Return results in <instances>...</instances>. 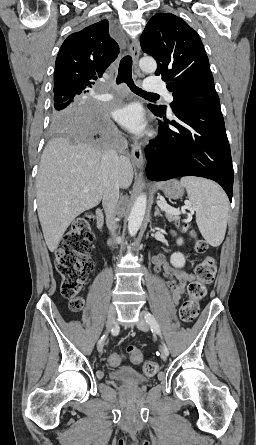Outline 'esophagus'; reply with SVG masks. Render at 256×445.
Segmentation results:
<instances>
[{"instance_id": "esophagus-1", "label": "esophagus", "mask_w": 256, "mask_h": 445, "mask_svg": "<svg viewBox=\"0 0 256 445\" xmlns=\"http://www.w3.org/2000/svg\"><path fill=\"white\" fill-rule=\"evenodd\" d=\"M130 54L133 58L134 66L137 67V63L140 56V44L137 39L133 40L129 47ZM131 155L133 163L138 167L142 168L144 164L142 150L139 144H131Z\"/></svg>"}]
</instances>
